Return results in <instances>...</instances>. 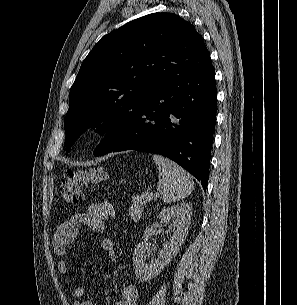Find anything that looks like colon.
Masks as SVG:
<instances>
[{
    "mask_svg": "<svg viewBox=\"0 0 297 305\" xmlns=\"http://www.w3.org/2000/svg\"><path fill=\"white\" fill-rule=\"evenodd\" d=\"M106 173L103 168L95 167L86 171L69 170L61 183L60 192L66 205H77L80 203L83 186L98 184L105 180Z\"/></svg>",
    "mask_w": 297,
    "mask_h": 305,
    "instance_id": "5ec220e1",
    "label": "colon"
}]
</instances>
